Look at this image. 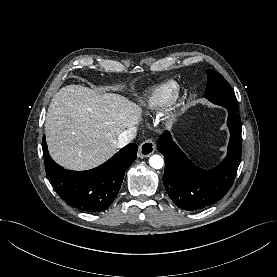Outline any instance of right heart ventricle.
I'll use <instances>...</instances> for the list:
<instances>
[{"mask_svg": "<svg viewBox=\"0 0 277 277\" xmlns=\"http://www.w3.org/2000/svg\"><path fill=\"white\" fill-rule=\"evenodd\" d=\"M175 84L173 82L163 83L150 91L142 101V107L146 112H153L167 102L173 96Z\"/></svg>", "mask_w": 277, "mask_h": 277, "instance_id": "1", "label": "right heart ventricle"}]
</instances>
